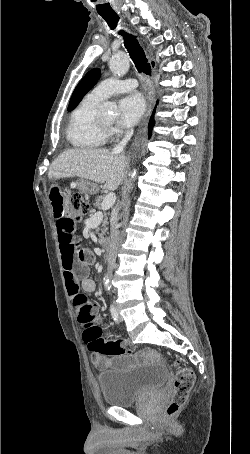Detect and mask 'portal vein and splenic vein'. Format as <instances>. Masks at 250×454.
<instances>
[{
  "label": "portal vein and splenic vein",
  "instance_id": "obj_1",
  "mask_svg": "<svg viewBox=\"0 0 250 454\" xmlns=\"http://www.w3.org/2000/svg\"><path fill=\"white\" fill-rule=\"evenodd\" d=\"M115 200H116V195L114 193L107 194L101 203V207H100L101 210L105 211V210L110 209L114 205Z\"/></svg>",
  "mask_w": 250,
  "mask_h": 454
}]
</instances>
